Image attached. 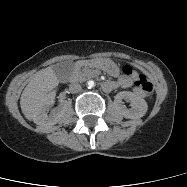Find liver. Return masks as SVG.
I'll return each mask as SVG.
<instances>
[{"label": "liver", "mask_w": 187, "mask_h": 187, "mask_svg": "<svg viewBox=\"0 0 187 187\" xmlns=\"http://www.w3.org/2000/svg\"><path fill=\"white\" fill-rule=\"evenodd\" d=\"M59 84L53 67L38 71L25 87L20 98L22 113L28 120L35 121L45 102Z\"/></svg>", "instance_id": "1"}]
</instances>
